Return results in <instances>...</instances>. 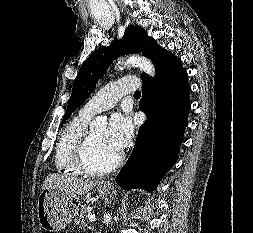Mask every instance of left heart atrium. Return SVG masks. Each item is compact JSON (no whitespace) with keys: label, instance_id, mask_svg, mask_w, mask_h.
Wrapping results in <instances>:
<instances>
[{"label":"left heart atrium","instance_id":"left-heart-atrium-1","mask_svg":"<svg viewBox=\"0 0 253 233\" xmlns=\"http://www.w3.org/2000/svg\"><path fill=\"white\" fill-rule=\"evenodd\" d=\"M133 133V125L129 117L114 114L110 118L104 134V141L108 147L121 152L129 143Z\"/></svg>","mask_w":253,"mask_h":233}]
</instances>
